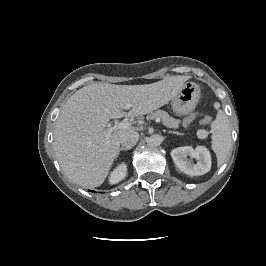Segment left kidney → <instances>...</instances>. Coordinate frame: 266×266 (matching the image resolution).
I'll return each mask as SVG.
<instances>
[{
	"label": "left kidney",
	"instance_id": "left-kidney-1",
	"mask_svg": "<svg viewBox=\"0 0 266 266\" xmlns=\"http://www.w3.org/2000/svg\"><path fill=\"white\" fill-rule=\"evenodd\" d=\"M171 157L176 166L190 176L203 175L211 169V155L204 146H197L195 149L191 146L178 147L171 151ZM193 158L197 160L196 164L193 163Z\"/></svg>",
	"mask_w": 266,
	"mask_h": 266
}]
</instances>
